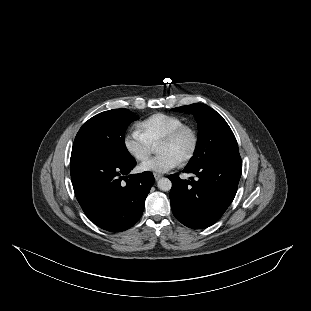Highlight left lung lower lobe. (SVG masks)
<instances>
[{
  "label": "left lung lower lobe",
  "mask_w": 311,
  "mask_h": 311,
  "mask_svg": "<svg viewBox=\"0 0 311 311\" xmlns=\"http://www.w3.org/2000/svg\"><path fill=\"white\" fill-rule=\"evenodd\" d=\"M184 172L196 174L198 179L186 181L178 174L169 176L173 214L189 228H207L220 219L236 195L242 173L241 157H220L197 167H186Z\"/></svg>",
  "instance_id": "obj_1"
}]
</instances>
